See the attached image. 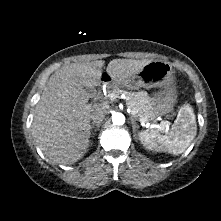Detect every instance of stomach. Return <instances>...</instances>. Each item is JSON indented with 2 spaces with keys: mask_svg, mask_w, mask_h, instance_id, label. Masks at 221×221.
Returning a JSON list of instances; mask_svg holds the SVG:
<instances>
[{
  "mask_svg": "<svg viewBox=\"0 0 221 221\" xmlns=\"http://www.w3.org/2000/svg\"><path fill=\"white\" fill-rule=\"evenodd\" d=\"M175 71L169 62L150 61L128 82V88H159L150 98L152 110L156 116L173 111L177 94L175 89Z\"/></svg>",
  "mask_w": 221,
  "mask_h": 221,
  "instance_id": "obj_1",
  "label": "stomach"
}]
</instances>
